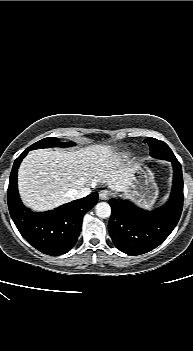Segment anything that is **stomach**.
Returning <instances> with one entry per match:
<instances>
[{"mask_svg":"<svg viewBox=\"0 0 193 351\" xmlns=\"http://www.w3.org/2000/svg\"><path fill=\"white\" fill-rule=\"evenodd\" d=\"M125 196L145 208H150L154 204L158 196V188L153 173L148 167L139 166L135 169Z\"/></svg>","mask_w":193,"mask_h":351,"instance_id":"obj_1","label":"stomach"}]
</instances>
